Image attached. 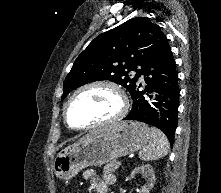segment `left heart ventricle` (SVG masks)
<instances>
[{"mask_svg": "<svg viewBox=\"0 0 221 193\" xmlns=\"http://www.w3.org/2000/svg\"><path fill=\"white\" fill-rule=\"evenodd\" d=\"M118 96L105 87L90 88L78 94L68 108L69 123L84 127L113 116L119 109Z\"/></svg>", "mask_w": 221, "mask_h": 193, "instance_id": "left-heart-ventricle-1", "label": "left heart ventricle"}]
</instances>
